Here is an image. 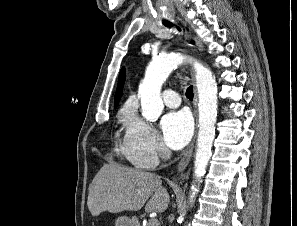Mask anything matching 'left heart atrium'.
<instances>
[{"instance_id": "left-heart-atrium-1", "label": "left heart atrium", "mask_w": 297, "mask_h": 226, "mask_svg": "<svg viewBox=\"0 0 297 226\" xmlns=\"http://www.w3.org/2000/svg\"><path fill=\"white\" fill-rule=\"evenodd\" d=\"M161 129L167 146L178 150L184 147L191 138L192 119L186 111L170 112L162 118Z\"/></svg>"}]
</instances>
